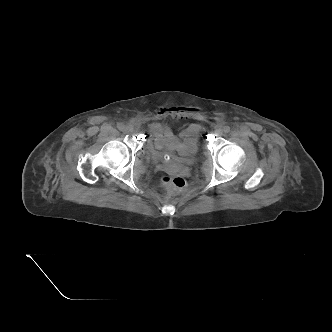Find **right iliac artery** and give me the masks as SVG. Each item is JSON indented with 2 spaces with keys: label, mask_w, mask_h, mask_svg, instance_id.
Returning a JSON list of instances; mask_svg holds the SVG:
<instances>
[{
  "label": "right iliac artery",
  "mask_w": 332,
  "mask_h": 332,
  "mask_svg": "<svg viewBox=\"0 0 332 332\" xmlns=\"http://www.w3.org/2000/svg\"><path fill=\"white\" fill-rule=\"evenodd\" d=\"M117 127H118L119 130H123L125 126H124L123 123H118Z\"/></svg>",
  "instance_id": "obj_1"
}]
</instances>
